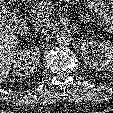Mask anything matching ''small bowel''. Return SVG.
I'll return each mask as SVG.
<instances>
[{"mask_svg": "<svg viewBox=\"0 0 113 113\" xmlns=\"http://www.w3.org/2000/svg\"><path fill=\"white\" fill-rule=\"evenodd\" d=\"M70 1V0H66ZM90 7H92L98 16L109 28L110 31H113V0H86ZM81 18L83 20L88 19L87 14H82Z\"/></svg>", "mask_w": 113, "mask_h": 113, "instance_id": "small-bowel-1", "label": "small bowel"}]
</instances>
